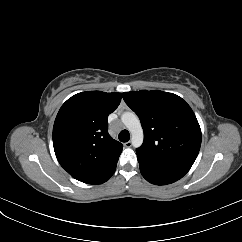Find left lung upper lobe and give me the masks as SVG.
Returning a JSON list of instances; mask_svg holds the SVG:
<instances>
[{"label": "left lung upper lobe", "instance_id": "left-lung-upper-lobe-1", "mask_svg": "<svg viewBox=\"0 0 242 242\" xmlns=\"http://www.w3.org/2000/svg\"><path fill=\"white\" fill-rule=\"evenodd\" d=\"M138 115L144 142L136 150L148 161L188 172L201 146V129L190 106L179 96L159 90L123 93Z\"/></svg>", "mask_w": 242, "mask_h": 242}]
</instances>
